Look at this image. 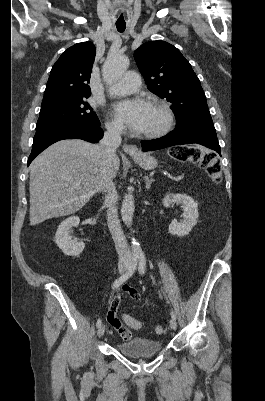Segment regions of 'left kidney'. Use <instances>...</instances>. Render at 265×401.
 <instances>
[{
  "instance_id": "5707ae66",
  "label": "left kidney",
  "mask_w": 265,
  "mask_h": 401,
  "mask_svg": "<svg viewBox=\"0 0 265 401\" xmlns=\"http://www.w3.org/2000/svg\"><path fill=\"white\" fill-rule=\"evenodd\" d=\"M173 203L177 205H183L184 213L182 215L184 221L178 223L176 219H173L169 225V233L171 235H178V237H184V235H189L191 229L197 223L198 215V203L194 201L192 196L188 194H173V192H168L163 198L164 207H170Z\"/></svg>"
}]
</instances>
